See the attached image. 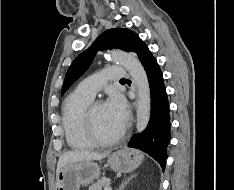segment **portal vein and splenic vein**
I'll list each match as a JSON object with an SVG mask.
<instances>
[{
    "label": "portal vein and splenic vein",
    "mask_w": 234,
    "mask_h": 190,
    "mask_svg": "<svg viewBox=\"0 0 234 190\" xmlns=\"http://www.w3.org/2000/svg\"><path fill=\"white\" fill-rule=\"evenodd\" d=\"M104 190H112V188L109 187V186H106V187L104 188Z\"/></svg>",
    "instance_id": "portal-vein-and-splenic-vein-1"
}]
</instances>
